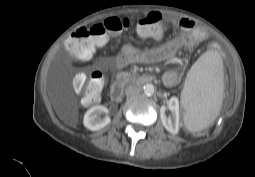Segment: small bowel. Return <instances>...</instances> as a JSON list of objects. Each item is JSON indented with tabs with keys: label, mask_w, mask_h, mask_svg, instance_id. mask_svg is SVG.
I'll return each mask as SVG.
<instances>
[{
	"label": "small bowel",
	"mask_w": 255,
	"mask_h": 177,
	"mask_svg": "<svg viewBox=\"0 0 255 177\" xmlns=\"http://www.w3.org/2000/svg\"><path fill=\"white\" fill-rule=\"evenodd\" d=\"M174 24L183 30L181 34L167 40L162 45L149 50H140L133 45L127 44L117 56L116 66L118 68H123L138 63H159L173 57L180 49L192 47L194 44L205 38V32L198 28L193 21L187 18H175ZM178 79L179 73L176 68L168 70L163 75V83L167 87L174 86Z\"/></svg>",
	"instance_id": "1"
}]
</instances>
